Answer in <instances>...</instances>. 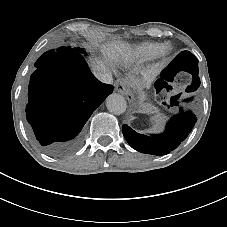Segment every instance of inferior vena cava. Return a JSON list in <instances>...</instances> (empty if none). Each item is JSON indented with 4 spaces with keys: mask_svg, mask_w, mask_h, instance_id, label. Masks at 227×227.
I'll list each match as a JSON object with an SVG mask.
<instances>
[{
    "mask_svg": "<svg viewBox=\"0 0 227 227\" xmlns=\"http://www.w3.org/2000/svg\"><path fill=\"white\" fill-rule=\"evenodd\" d=\"M95 77L106 84H112L113 83V77L111 72H96Z\"/></svg>",
    "mask_w": 227,
    "mask_h": 227,
    "instance_id": "1",
    "label": "inferior vena cava"
}]
</instances>
